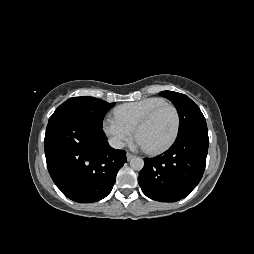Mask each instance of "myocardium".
Returning <instances> with one entry per match:
<instances>
[{
	"label": "myocardium",
	"mask_w": 254,
	"mask_h": 254,
	"mask_svg": "<svg viewBox=\"0 0 254 254\" xmlns=\"http://www.w3.org/2000/svg\"><path fill=\"white\" fill-rule=\"evenodd\" d=\"M164 107H169L173 110L174 114H175V127H174V131L171 135V137L161 146L156 147V148H148L147 151L151 154H158L161 153L165 150H167L176 140L178 133H179V129H180V114L179 111L177 109V107L169 102H164L160 105H158L157 107H155L154 109H152L148 114H146L135 126L134 131H135V135H138L139 130L144 127L145 125H147L154 117L155 115Z\"/></svg>",
	"instance_id": "myocardium-1"
}]
</instances>
